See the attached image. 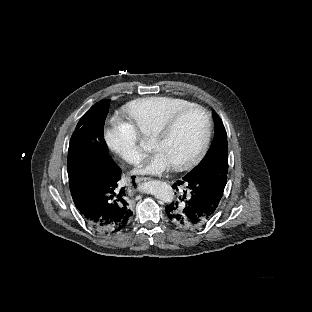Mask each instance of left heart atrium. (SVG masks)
I'll return each instance as SVG.
<instances>
[{
  "mask_svg": "<svg viewBox=\"0 0 312 312\" xmlns=\"http://www.w3.org/2000/svg\"><path fill=\"white\" fill-rule=\"evenodd\" d=\"M172 166V157L167 152L158 154L154 160L140 162L135 167V172L140 177L155 176L160 177L169 172Z\"/></svg>",
  "mask_w": 312,
  "mask_h": 312,
  "instance_id": "obj_1",
  "label": "left heart atrium"
}]
</instances>
